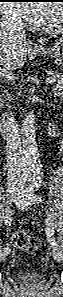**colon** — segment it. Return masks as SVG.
I'll use <instances>...</instances> for the list:
<instances>
[{
    "mask_svg": "<svg viewBox=\"0 0 63 297\" xmlns=\"http://www.w3.org/2000/svg\"><path fill=\"white\" fill-rule=\"evenodd\" d=\"M12 243L17 248L22 249L30 254H35L38 248L34 238L23 231L13 234Z\"/></svg>",
    "mask_w": 63,
    "mask_h": 297,
    "instance_id": "5ec220e1",
    "label": "colon"
}]
</instances>
